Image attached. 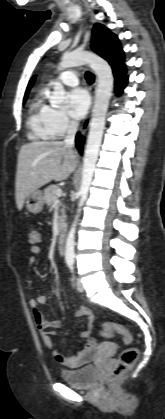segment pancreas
<instances>
[{
    "label": "pancreas",
    "instance_id": "obj_1",
    "mask_svg": "<svg viewBox=\"0 0 165 419\" xmlns=\"http://www.w3.org/2000/svg\"><path fill=\"white\" fill-rule=\"evenodd\" d=\"M58 189H60L58 185H50L47 188H45V190H44V202L48 206H51L54 202H56V200H57L56 191ZM65 218H66V216H65L64 208H63L62 209V214H61L60 219H59L60 229H62L64 227Z\"/></svg>",
    "mask_w": 165,
    "mask_h": 419
}]
</instances>
